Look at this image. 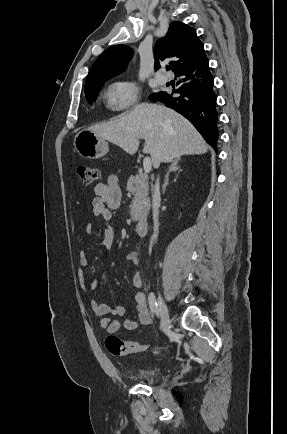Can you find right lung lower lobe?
<instances>
[{
  "instance_id": "right-lung-lower-lobe-1",
  "label": "right lung lower lobe",
  "mask_w": 287,
  "mask_h": 434,
  "mask_svg": "<svg viewBox=\"0 0 287 434\" xmlns=\"http://www.w3.org/2000/svg\"><path fill=\"white\" fill-rule=\"evenodd\" d=\"M175 76L181 86L172 94L155 93L150 100L162 102L186 117L201 133L204 139L216 149L218 139V115L216 95L213 92L214 78L209 71L205 52L200 53L188 66Z\"/></svg>"
}]
</instances>
